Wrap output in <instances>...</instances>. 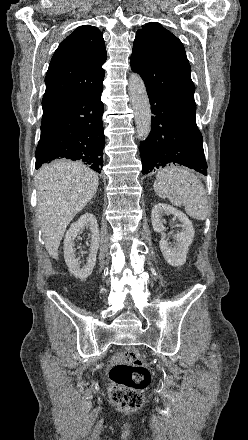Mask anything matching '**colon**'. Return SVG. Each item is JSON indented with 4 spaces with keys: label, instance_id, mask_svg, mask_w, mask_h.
<instances>
[{
    "label": "colon",
    "instance_id": "1",
    "mask_svg": "<svg viewBox=\"0 0 248 440\" xmlns=\"http://www.w3.org/2000/svg\"><path fill=\"white\" fill-rule=\"evenodd\" d=\"M109 377L110 396L117 410L129 413L143 405V391L150 384L151 374L137 348L126 349L123 361L111 368Z\"/></svg>",
    "mask_w": 248,
    "mask_h": 440
}]
</instances>
